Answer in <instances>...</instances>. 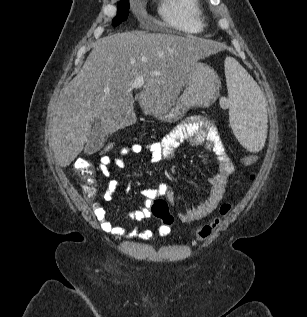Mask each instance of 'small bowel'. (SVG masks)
Here are the masks:
<instances>
[{
	"label": "small bowel",
	"instance_id": "obj_1",
	"mask_svg": "<svg viewBox=\"0 0 307 317\" xmlns=\"http://www.w3.org/2000/svg\"><path fill=\"white\" fill-rule=\"evenodd\" d=\"M184 143H188L192 146L204 144L207 149L211 150L217 156L218 160L217 172L208 179L210 186L208 197L197 207L178 214V221L180 223H190L192 221L201 220L216 209L223 198L229 179L235 170L232 160L227 155L216 123L209 117H188L159 141L151 142L146 145L133 143L127 146L122 153L116 157L102 155L99 161V170L105 177H110L111 164L114 163L116 167L122 169L124 167V156L130 154L138 155L143 152L150 154L151 163L154 165L169 162L173 159L175 150ZM117 187L118 182L116 180H110L103 193V199L105 201L112 200ZM127 190L129 191L130 187H128ZM141 195L143 196L142 206L138 210L126 214V216L132 220L140 221L150 217L152 202L160 196H166L172 204L175 203V196L165 183H158L153 187L143 189ZM92 209L102 230L116 236L124 235V229L111 222L100 203H93ZM158 233L161 236H166L170 233V227L162 224L158 228ZM126 236L128 238L149 239L153 236V232L149 229L139 230L134 228L128 232Z\"/></svg>",
	"mask_w": 307,
	"mask_h": 317
}]
</instances>
